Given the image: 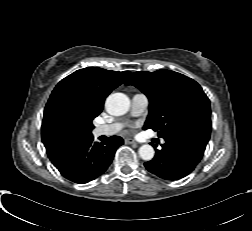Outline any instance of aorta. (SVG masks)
<instances>
[{
	"label": "aorta",
	"mask_w": 252,
	"mask_h": 231,
	"mask_svg": "<svg viewBox=\"0 0 252 231\" xmlns=\"http://www.w3.org/2000/svg\"><path fill=\"white\" fill-rule=\"evenodd\" d=\"M130 106L129 98L123 93L110 94L105 102L106 111L113 116H121L127 113ZM139 156L145 161L153 159L155 151L149 144H144L139 148Z\"/></svg>",
	"instance_id": "762f6f07"
}]
</instances>
